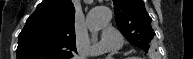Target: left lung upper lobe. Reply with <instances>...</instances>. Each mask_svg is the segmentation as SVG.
Returning <instances> with one entry per match:
<instances>
[{
  "label": "left lung upper lobe",
  "mask_w": 193,
  "mask_h": 59,
  "mask_svg": "<svg viewBox=\"0 0 193 59\" xmlns=\"http://www.w3.org/2000/svg\"><path fill=\"white\" fill-rule=\"evenodd\" d=\"M116 24L127 40L148 53L155 36L142 0H113Z\"/></svg>",
  "instance_id": "left-lung-upper-lobe-1"
}]
</instances>
